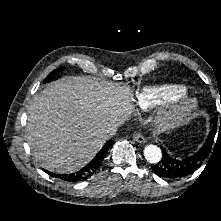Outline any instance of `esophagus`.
Wrapping results in <instances>:
<instances>
[{"label":"esophagus","mask_w":221,"mask_h":221,"mask_svg":"<svg viewBox=\"0 0 221 221\" xmlns=\"http://www.w3.org/2000/svg\"><path fill=\"white\" fill-rule=\"evenodd\" d=\"M133 139L138 143H144L145 142V138L141 133H134L133 134Z\"/></svg>","instance_id":"obj_1"}]
</instances>
